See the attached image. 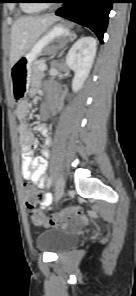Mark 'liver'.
Returning <instances> with one entry per match:
<instances>
[{
    "instance_id": "6515ba94",
    "label": "liver",
    "mask_w": 136,
    "mask_h": 296,
    "mask_svg": "<svg viewBox=\"0 0 136 296\" xmlns=\"http://www.w3.org/2000/svg\"><path fill=\"white\" fill-rule=\"evenodd\" d=\"M60 18L54 15L23 16L18 18L11 30V66L35 44L37 39Z\"/></svg>"
}]
</instances>
